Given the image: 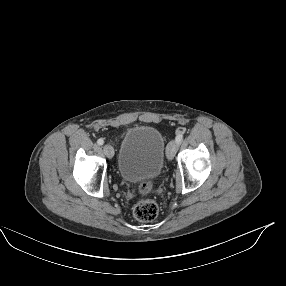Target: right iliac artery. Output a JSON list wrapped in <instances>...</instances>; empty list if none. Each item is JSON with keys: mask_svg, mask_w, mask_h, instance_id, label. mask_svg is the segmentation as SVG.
Here are the masks:
<instances>
[{"mask_svg": "<svg viewBox=\"0 0 286 286\" xmlns=\"http://www.w3.org/2000/svg\"><path fill=\"white\" fill-rule=\"evenodd\" d=\"M97 143H98L99 145H103V144H104V140H103L102 138H100V139H98Z\"/></svg>", "mask_w": 286, "mask_h": 286, "instance_id": "82829eb1", "label": "right iliac artery"}]
</instances>
